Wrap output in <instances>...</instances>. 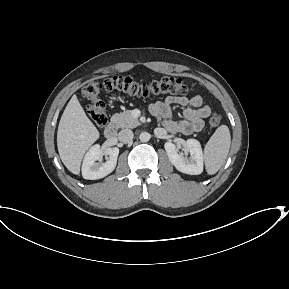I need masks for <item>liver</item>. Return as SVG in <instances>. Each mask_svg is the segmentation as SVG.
Here are the masks:
<instances>
[{"instance_id": "obj_1", "label": "liver", "mask_w": 289, "mask_h": 289, "mask_svg": "<svg viewBox=\"0 0 289 289\" xmlns=\"http://www.w3.org/2000/svg\"><path fill=\"white\" fill-rule=\"evenodd\" d=\"M99 131L85 114L76 95L68 102L57 131V147L66 168L80 173L85 152L99 138Z\"/></svg>"}]
</instances>
